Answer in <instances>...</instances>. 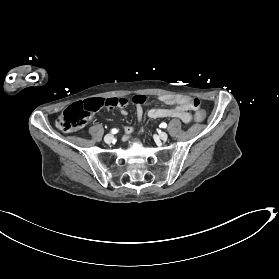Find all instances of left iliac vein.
I'll list each match as a JSON object with an SVG mask.
<instances>
[{"label": "left iliac vein", "instance_id": "obj_1", "mask_svg": "<svg viewBox=\"0 0 279 279\" xmlns=\"http://www.w3.org/2000/svg\"><path fill=\"white\" fill-rule=\"evenodd\" d=\"M159 138L161 139V140H167V138H168V134L166 133V132H161V133H159Z\"/></svg>", "mask_w": 279, "mask_h": 279}]
</instances>
